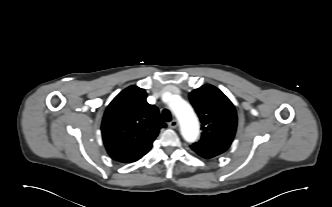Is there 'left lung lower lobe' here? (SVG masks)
Listing matches in <instances>:
<instances>
[{
	"mask_svg": "<svg viewBox=\"0 0 332 207\" xmlns=\"http://www.w3.org/2000/svg\"><path fill=\"white\" fill-rule=\"evenodd\" d=\"M200 156L204 157V158H207V159L212 158V157H209V156H202V155H200Z\"/></svg>",
	"mask_w": 332,
	"mask_h": 207,
	"instance_id": "left-lung-lower-lobe-1",
	"label": "left lung lower lobe"
}]
</instances>
